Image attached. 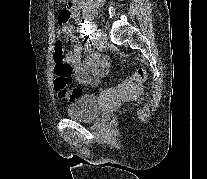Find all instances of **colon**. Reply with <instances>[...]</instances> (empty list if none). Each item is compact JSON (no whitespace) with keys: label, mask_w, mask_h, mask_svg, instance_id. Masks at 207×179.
I'll return each mask as SVG.
<instances>
[{"label":"colon","mask_w":207,"mask_h":179,"mask_svg":"<svg viewBox=\"0 0 207 179\" xmlns=\"http://www.w3.org/2000/svg\"><path fill=\"white\" fill-rule=\"evenodd\" d=\"M55 88L59 96L64 99L73 100L82 95V90L72 86V68L66 60L64 45L61 41L55 44L54 53ZM147 69L138 68L129 78L130 82H141L147 78Z\"/></svg>","instance_id":"obj_1"}]
</instances>
